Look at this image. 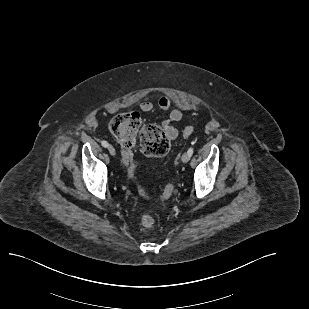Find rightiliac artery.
<instances>
[{"label":"right iliac artery","instance_id":"obj_1","mask_svg":"<svg viewBox=\"0 0 309 309\" xmlns=\"http://www.w3.org/2000/svg\"><path fill=\"white\" fill-rule=\"evenodd\" d=\"M101 144H102V146L105 147V148L109 146L108 142L105 141V140L102 141Z\"/></svg>","mask_w":309,"mask_h":309}]
</instances>
